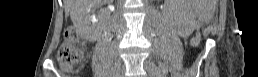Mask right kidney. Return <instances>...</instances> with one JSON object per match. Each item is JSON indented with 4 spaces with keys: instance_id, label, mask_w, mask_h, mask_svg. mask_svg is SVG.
<instances>
[{
    "instance_id": "1",
    "label": "right kidney",
    "mask_w": 258,
    "mask_h": 77,
    "mask_svg": "<svg viewBox=\"0 0 258 77\" xmlns=\"http://www.w3.org/2000/svg\"><path fill=\"white\" fill-rule=\"evenodd\" d=\"M100 3L90 4V5H87L85 7L78 8V9L79 10H83V14L85 16V20L86 19L87 20H92L93 17H90V16L87 15V12L89 11L88 7L99 5ZM75 24L77 25V27H78L82 37H84L85 39H89L90 38V33H89L90 27H89V24L86 21H82L81 18L78 17L77 12L75 13Z\"/></svg>"
}]
</instances>
